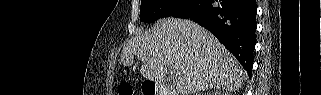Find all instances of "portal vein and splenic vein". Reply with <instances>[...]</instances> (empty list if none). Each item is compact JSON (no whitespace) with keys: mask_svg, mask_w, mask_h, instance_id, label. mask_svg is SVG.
Instances as JSON below:
<instances>
[{"mask_svg":"<svg viewBox=\"0 0 321 95\" xmlns=\"http://www.w3.org/2000/svg\"><path fill=\"white\" fill-rule=\"evenodd\" d=\"M171 76H172L173 80H175V75H173V74L171 73Z\"/></svg>","mask_w":321,"mask_h":95,"instance_id":"portal-vein-and-splenic-vein-1","label":"portal vein and splenic vein"}]
</instances>
